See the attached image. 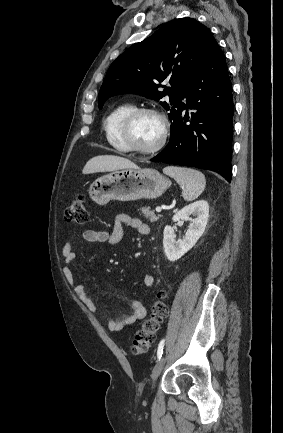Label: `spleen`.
<instances>
[{"instance_id":"3e777b00","label":"spleen","mask_w":283,"mask_h":433,"mask_svg":"<svg viewBox=\"0 0 283 433\" xmlns=\"http://www.w3.org/2000/svg\"><path fill=\"white\" fill-rule=\"evenodd\" d=\"M165 174L175 178L178 184L185 186L182 190V196L185 200H195L206 186V178L203 172L195 168H185V166H165Z\"/></svg>"}]
</instances>
